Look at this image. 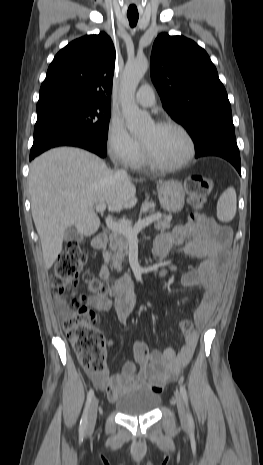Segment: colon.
<instances>
[{
  "label": "colon",
  "mask_w": 263,
  "mask_h": 465,
  "mask_svg": "<svg viewBox=\"0 0 263 465\" xmlns=\"http://www.w3.org/2000/svg\"><path fill=\"white\" fill-rule=\"evenodd\" d=\"M213 188L210 178L195 174L185 181L187 201L195 210L190 216V222L202 227L217 228L208 217L197 210L200 209ZM87 262V254L79 243L71 241L67 243L63 252L54 265L51 285L58 296L69 292L72 286H76L83 267ZM85 283L92 293L99 296H119V288H110L94 279L90 274L83 275ZM97 316L93 310L85 306L82 299L72 297L63 320L64 330L72 343L74 352L80 365L87 371L98 373L105 369L106 339L104 334L96 326ZM179 328L182 333L193 331L190 320L180 321Z\"/></svg>",
  "instance_id": "1"
}]
</instances>
